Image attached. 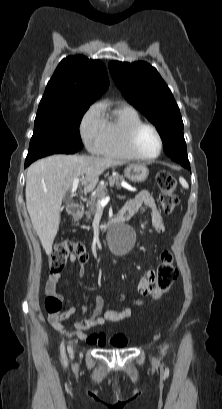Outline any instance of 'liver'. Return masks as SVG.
<instances>
[{
  "label": "liver",
  "instance_id": "obj_1",
  "mask_svg": "<svg viewBox=\"0 0 222 409\" xmlns=\"http://www.w3.org/2000/svg\"><path fill=\"white\" fill-rule=\"evenodd\" d=\"M123 164L112 158L53 155L34 162L28 168L26 206L46 254L52 252L59 229L62 200L74 179L81 176V186L93 190L106 169Z\"/></svg>",
  "mask_w": 222,
  "mask_h": 409
}]
</instances>
